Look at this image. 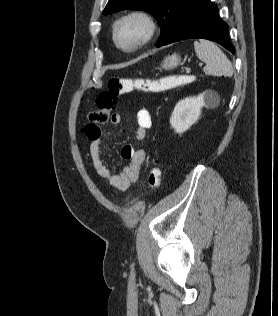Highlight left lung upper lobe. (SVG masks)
Masks as SVG:
<instances>
[{
	"instance_id": "left-lung-upper-lobe-1",
	"label": "left lung upper lobe",
	"mask_w": 278,
	"mask_h": 316,
	"mask_svg": "<svg viewBox=\"0 0 278 316\" xmlns=\"http://www.w3.org/2000/svg\"><path fill=\"white\" fill-rule=\"evenodd\" d=\"M189 0H109L103 14L123 9H142L150 12L161 26L156 46L160 47L172 34Z\"/></svg>"
}]
</instances>
